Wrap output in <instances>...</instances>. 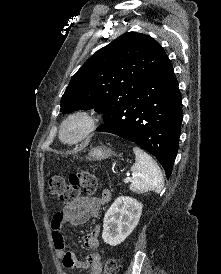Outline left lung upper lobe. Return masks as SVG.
I'll list each match as a JSON object with an SVG mask.
<instances>
[{
	"mask_svg": "<svg viewBox=\"0 0 221 274\" xmlns=\"http://www.w3.org/2000/svg\"><path fill=\"white\" fill-rule=\"evenodd\" d=\"M166 58L161 45L149 35L125 33L94 53L74 74L60 111L95 109L105 116L137 95Z\"/></svg>",
	"mask_w": 221,
	"mask_h": 274,
	"instance_id": "left-lung-upper-lobe-1",
	"label": "left lung upper lobe"
}]
</instances>
